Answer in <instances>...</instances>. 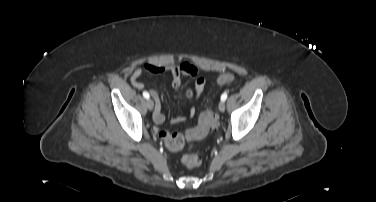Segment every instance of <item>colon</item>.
<instances>
[{
	"mask_svg": "<svg viewBox=\"0 0 376 202\" xmlns=\"http://www.w3.org/2000/svg\"><path fill=\"white\" fill-rule=\"evenodd\" d=\"M236 77L231 73H225L218 77L219 84H231ZM215 123V116L211 110H204L200 113L197 125L188 133L187 136L180 132H170L163 130L160 137L165 146L171 151L182 150L186 146L187 139H199L208 134ZM182 163L187 168H196L201 164V157L197 153L187 152L182 157Z\"/></svg>",
	"mask_w": 376,
	"mask_h": 202,
	"instance_id": "1",
	"label": "colon"
}]
</instances>
